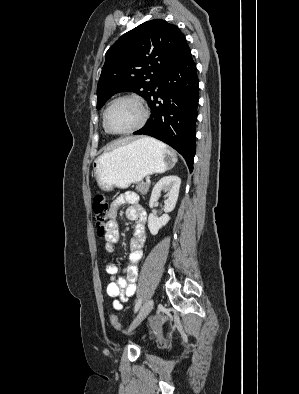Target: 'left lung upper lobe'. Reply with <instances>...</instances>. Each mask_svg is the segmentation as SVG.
<instances>
[{
  "label": "left lung upper lobe",
  "mask_w": 299,
  "mask_h": 394,
  "mask_svg": "<svg viewBox=\"0 0 299 394\" xmlns=\"http://www.w3.org/2000/svg\"><path fill=\"white\" fill-rule=\"evenodd\" d=\"M187 46L179 28L165 20L142 23L106 52L97 87V109L118 92H135L150 101L158 79Z\"/></svg>",
  "instance_id": "1"
}]
</instances>
